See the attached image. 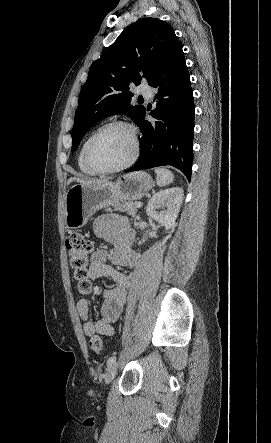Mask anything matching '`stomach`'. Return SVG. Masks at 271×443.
<instances>
[{
  "label": "stomach",
  "instance_id": "obj_1",
  "mask_svg": "<svg viewBox=\"0 0 271 443\" xmlns=\"http://www.w3.org/2000/svg\"><path fill=\"white\" fill-rule=\"evenodd\" d=\"M151 188H154V182L146 172L126 174L117 182L90 186L75 184L69 188L65 198V225L68 229L83 227L97 210L115 206L119 200H141Z\"/></svg>",
  "mask_w": 271,
  "mask_h": 443
}]
</instances>
